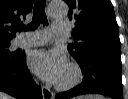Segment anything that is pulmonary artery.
<instances>
[{
    "instance_id": "pulmonary-artery-1",
    "label": "pulmonary artery",
    "mask_w": 128,
    "mask_h": 99,
    "mask_svg": "<svg viewBox=\"0 0 128 99\" xmlns=\"http://www.w3.org/2000/svg\"><path fill=\"white\" fill-rule=\"evenodd\" d=\"M67 22H54L51 30L36 31L21 36L14 41L16 47L38 46L47 43L53 34H60L67 30Z\"/></svg>"
}]
</instances>
